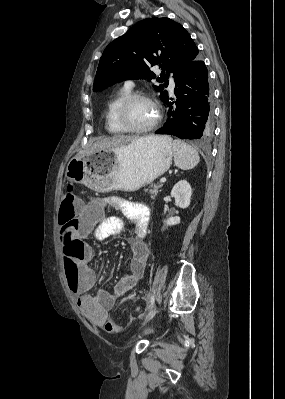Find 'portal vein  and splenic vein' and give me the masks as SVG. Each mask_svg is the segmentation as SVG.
<instances>
[{
	"label": "portal vein and splenic vein",
	"instance_id": "1",
	"mask_svg": "<svg viewBox=\"0 0 285 399\" xmlns=\"http://www.w3.org/2000/svg\"><path fill=\"white\" fill-rule=\"evenodd\" d=\"M160 182H161V183H165V182H166V178H161V179H160Z\"/></svg>",
	"mask_w": 285,
	"mask_h": 399
}]
</instances>
